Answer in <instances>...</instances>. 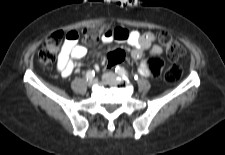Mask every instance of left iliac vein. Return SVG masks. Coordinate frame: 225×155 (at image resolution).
<instances>
[{"instance_id":"4c4485c4","label":"left iliac vein","mask_w":225,"mask_h":155,"mask_svg":"<svg viewBox=\"0 0 225 155\" xmlns=\"http://www.w3.org/2000/svg\"><path fill=\"white\" fill-rule=\"evenodd\" d=\"M116 77V74H114L113 72H106L103 74V78L105 79H113Z\"/></svg>"}]
</instances>
